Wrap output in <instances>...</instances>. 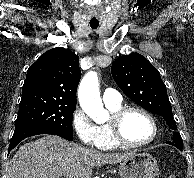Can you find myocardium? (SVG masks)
Listing matches in <instances>:
<instances>
[{"label":"myocardium","mask_w":194,"mask_h":178,"mask_svg":"<svg viewBox=\"0 0 194 178\" xmlns=\"http://www.w3.org/2000/svg\"><path fill=\"white\" fill-rule=\"evenodd\" d=\"M131 112H139L143 114L144 116H146L151 122L152 127H153V134L148 141L142 142V143H134V142L129 141L125 137L123 133V123L127 115ZM108 125H109V128L111 130V133H112V136L115 142L122 147L141 148V147L148 146L157 139L158 134H159V128H158V124H157L155 117L148 110L142 107H138V106L122 107L118 111L112 113L111 119Z\"/></svg>","instance_id":"1"}]
</instances>
